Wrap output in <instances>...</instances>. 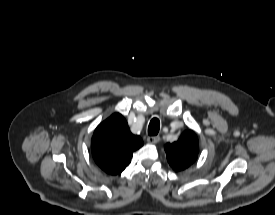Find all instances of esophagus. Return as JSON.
Segmentation results:
<instances>
[{
    "instance_id": "obj_1",
    "label": "esophagus",
    "mask_w": 275,
    "mask_h": 215,
    "mask_svg": "<svg viewBox=\"0 0 275 215\" xmlns=\"http://www.w3.org/2000/svg\"><path fill=\"white\" fill-rule=\"evenodd\" d=\"M160 141V137L159 136H149L147 138V142L150 144H157Z\"/></svg>"
}]
</instances>
